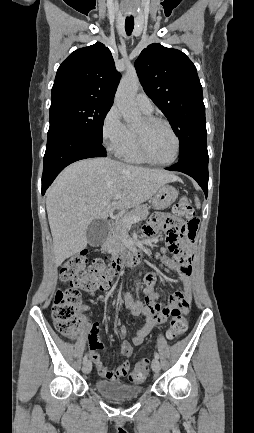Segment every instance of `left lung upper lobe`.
Instances as JSON below:
<instances>
[{
    "instance_id": "obj_1",
    "label": "left lung upper lobe",
    "mask_w": 254,
    "mask_h": 433,
    "mask_svg": "<svg viewBox=\"0 0 254 433\" xmlns=\"http://www.w3.org/2000/svg\"><path fill=\"white\" fill-rule=\"evenodd\" d=\"M135 68L146 94L179 138V160L208 154L202 86L190 59L182 51L151 44L141 52Z\"/></svg>"
}]
</instances>
